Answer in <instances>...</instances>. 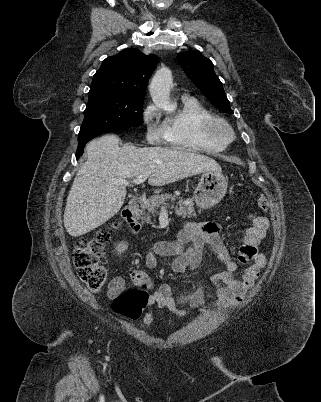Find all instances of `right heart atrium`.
<instances>
[{"label":"right heart atrium","mask_w":321,"mask_h":402,"mask_svg":"<svg viewBox=\"0 0 321 402\" xmlns=\"http://www.w3.org/2000/svg\"><path fill=\"white\" fill-rule=\"evenodd\" d=\"M159 109L149 103L143 110L142 121L146 127V138L152 143H157L163 138L162 124L158 123Z\"/></svg>","instance_id":"1"}]
</instances>
